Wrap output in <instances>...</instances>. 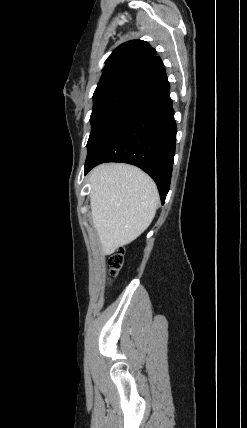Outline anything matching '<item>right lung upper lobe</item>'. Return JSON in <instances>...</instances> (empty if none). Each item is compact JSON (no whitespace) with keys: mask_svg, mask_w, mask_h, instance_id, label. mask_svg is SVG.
Wrapping results in <instances>:
<instances>
[{"mask_svg":"<svg viewBox=\"0 0 247 428\" xmlns=\"http://www.w3.org/2000/svg\"><path fill=\"white\" fill-rule=\"evenodd\" d=\"M164 76L165 67L155 49L145 41L131 40L109 56L94 94L112 89L141 93Z\"/></svg>","mask_w":247,"mask_h":428,"instance_id":"1","label":"right lung upper lobe"}]
</instances>
